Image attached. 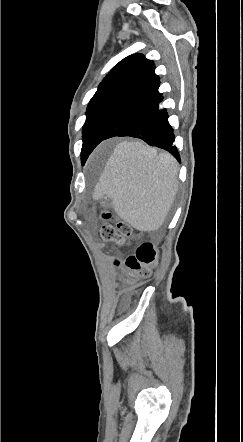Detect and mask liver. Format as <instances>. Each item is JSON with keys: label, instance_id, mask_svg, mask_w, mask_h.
<instances>
[{"label": "liver", "instance_id": "6515ba94", "mask_svg": "<svg viewBox=\"0 0 243 442\" xmlns=\"http://www.w3.org/2000/svg\"><path fill=\"white\" fill-rule=\"evenodd\" d=\"M178 163L141 141L118 143L95 187L94 198L112 200L117 215L142 232L158 230L178 191Z\"/></svg>", "mask_w": 243, "mask_h": 442}]
</instances>
